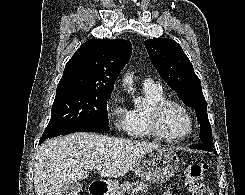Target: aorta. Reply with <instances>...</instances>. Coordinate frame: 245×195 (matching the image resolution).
Segmentation results:
<instances>
[{"label":"aorta","mask_w":245,"mask_h":195,"mask_svg":"<svg viewBox=\"0 0 245 195\" xmlns=\"http://www.w3.org/2000/svg\"><path fill=\"white\" fill-rule=\"evenodd\" d=\"M123 82H124L125 86H128V92L129 93L134 90V88H133V76L130 73H127L124 76ZM135 104H138L137 100H135Z\"/></svg>","instance_id":"762f6f07"}]
</instances>
